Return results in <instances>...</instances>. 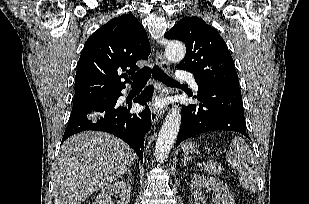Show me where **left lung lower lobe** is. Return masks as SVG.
Instances as JSON below:
<instances>
[{"label": "left lung lower lobe", "instance_id": "0a47b994", "mask_svg": "<svg viewBox=\"0 0 309 204\" xmlns=\"http://www.w3.org/2000/svg\"><path fill=\"white\" fill-rule=\"evenodd\" d=\"M199 105L182 107L181 126L176 146L195 135L226 130L248 137L240 88L196 79Z\"/></svg>", "mask_w": 309, "mask_h": 204}]
</instances>
